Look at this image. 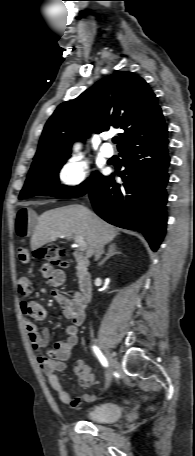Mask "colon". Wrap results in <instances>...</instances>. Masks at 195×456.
<instances>
[{"instance_id": "1", "label": "colon", "mask_w": 195, "mask_h": 456, "mask_svg": "<svg viewBox=\"0 0 195 456\" xmlns=\"http://www.w3.org/2000/svg\"><path fill=\"white\" fill-rule=\"evenodd\" d=\"M36 258L44 260L48 265L55 267H65V251L56 245H48L35 253Z\"/></svg>"}]
</instances>
